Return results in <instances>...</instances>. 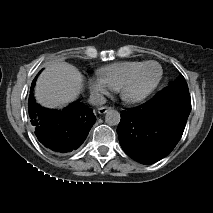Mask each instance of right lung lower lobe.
<instances>
[{
	"mask_svg": "<svg viewBox=\"0 0 213 213\" xmlns=\"http://www.w3.org/2000/svg\"><path fill=\"white\" fill-rule=\"evenodd\" d=\"M34 85L35 79L31 85L28 111L38 140L60 153L77 149L96 121L92 109L79 101L59 111L44 108L33 97Z\"/></svg>",
	"mask_w": 213,
	"mask_h": 213,
	"instance_id": "obj_1",
	"label": "right lung lower lobe"
}]
</instances>
